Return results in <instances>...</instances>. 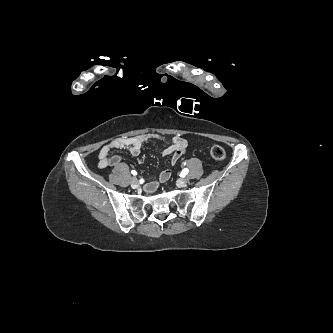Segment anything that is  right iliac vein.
Listing matches in <instances>:
<instances>
[{
    "label": "right iliac vein",
    "mask_w": 333,
    "mask_h": 333,
    "mask_svg": "<svg viewBox=\"0 0 333 333\" xmlns=\"http://www.w3.org/2000/svg\"><path fill=\"white\" fill-rule=\"evenodd\" d=\"M130 183L134 188L138 187L139 185L138 179L136 177H132Z\"/></svg>",
    "instance_id": "right-iliac-vein-1"
}]
</instances>
